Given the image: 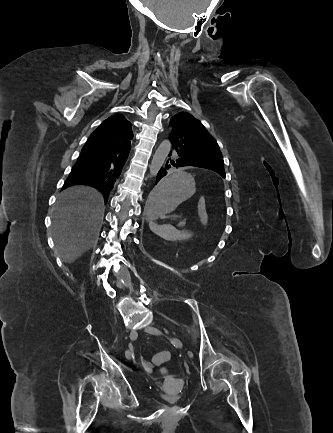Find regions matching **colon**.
Returning a JSON list of instances; mask_svg holds the SVG:
<instances>
[{
    "label": "colon",
    "instance_id": "5ec220e1",
    "mask_svg": "<svg viewBox=\"0 0 333 433\" xmlns=\"http://www.w3.org/2000/svg\"><path fill=\"white\" fill-rule=\"evenodd\" d=\"M199 216H200L201 223H204L205 222L204 200H201V211ZM170 358H171L170 352L161 351L152 357V364L154 366H160L164 362H168Z\"/></svg>",
    "mask_w": 333,
    "mask_h": 433
}]
</instances>
